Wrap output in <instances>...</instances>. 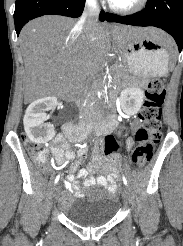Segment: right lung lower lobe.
Returning <instances> with one entry per match:
<instances>
[{"instance_id": "98d812e1", "label": "right lung lower lobe", "mask_w": 183, "mask_h": 246, "mask_svg": "<svg viewBox=\"0 0 183 246\" xmlns=\"http://www.w3.org/2000/svg\"><path fill=\"white\" fill-rule=\"evenodd\" d=\"M85 6V0H16L14 21L19 35L22 27L30 20L43 15H63L79 17ZM100 21L105 20V12L101 11Z\"/></svg>"}]
</instances>
